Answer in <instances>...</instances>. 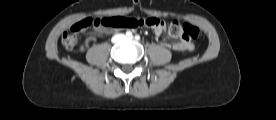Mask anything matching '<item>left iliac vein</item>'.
Wrapping results in <instances>:
<instances>
[{
    "label": "left iliac vein",
    "instance_id": "1",
    "mask_svg": "<svg viewBox=\"0 0 276 120\" xmlns=\"http://www.w3.org/2000/svg\"><path fill=\"white\" fill-rule=\"evenodd\" d=\"M128 39H130V40H131V39H133V37H130V38H128Z\"/></svg>",
    "mask_w": 276,
    "mask_h": 120
}]
</instances>
